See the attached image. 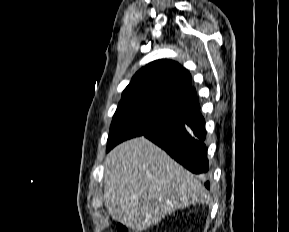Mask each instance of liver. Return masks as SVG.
<instances>
[{
  "label": "liver",
  "mask_w": 289,
  "mask_h": 232,
  "mask_svg": "<svg viewBox=\"0 0 289 232\" xmlns=\"http://www.w3.org/2000/svg\"><path fill=\"white\" fill-rule=\"evenodd\" d=\"M104 202L113 219L143 231L166 215L207 202L200 180L145 137L113 148L104 163Z\"/></svg>",
  "instance_id": "obj_1"
}]
</instances>
